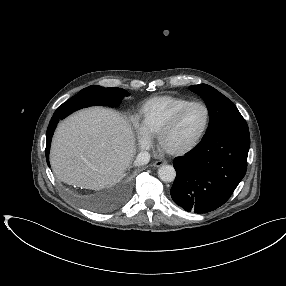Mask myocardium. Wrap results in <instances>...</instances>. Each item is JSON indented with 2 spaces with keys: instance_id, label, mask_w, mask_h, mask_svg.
I'll return each instance as SVG.
<instances>
[{
  "instance_id": "obj_1",
  "label": "myocardium",
  "mask_w": 286,
  "mask_h": 286,
  "mask_svg": "<svg viewBox=\"0 0 286 286\" xmlns=\"http://www.w3.org/2000/svg\"><path fill=\"white\" fill-rule=\"evenodd\" d=\"M195 105L202 106L206 112V122H205V125H204L202 132L190 145H188L186 147H183L180 149H169V148H167L164 144V139H165L166 135L176 126V124L179 122V120L184 115V113L188 109H190L192 106H195ZM210 124H211V112H210L209 107L202 101H191L190 103H188L185 106H183L182 108H180L159 130V132L157 134L158 146L163 152H165L169 155L181 156V155L187 154L200 145V143L203 141V139L205 138V136L208 133V130L210 128Z\"/></svg>"
}]
</instances>
